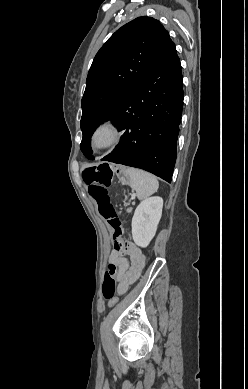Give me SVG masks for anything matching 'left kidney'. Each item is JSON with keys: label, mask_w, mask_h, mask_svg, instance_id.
Returning a JSON list of instances; mask_svg holds the SVG:
<instances>
[{"label": "left kidney", "mask_w": 248, "mask_h": 389, "mask_svg": "<svg viewBox=\"0 0 248 389\" xmlns=\"http://www.w3.org/2000/svg\"><path fill=\"white\" fill-rule=\"evenodd\" d=\"M163 199L158 196L142 201L132 218V237L136 245L145 248L156 234L162 216Z\"/></svg>", "instance_id": "1"}]
</instances>
